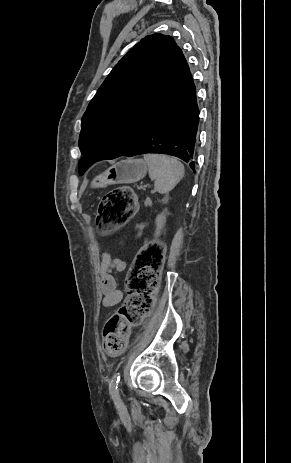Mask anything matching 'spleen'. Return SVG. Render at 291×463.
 Returning <instances> with one entry per match:
<instances>
[{"mask_svg":"<svg viewBox=\"0 0 291 463\" xmlns=\"http://www.w3.org/2000/svg\"><path fill=\"white\" fill-rule=\"evenodd\" d=\"M149 168V177L159 193H169L184 177V166L178 160L158 154L144 155Z\"/></svg>","mask_w":291,"mask_h":463,"instance_id":"3e777b00","label":"spleen"}]
</instances>
